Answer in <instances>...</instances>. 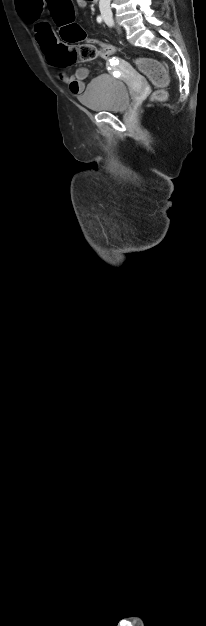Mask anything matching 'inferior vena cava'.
<instances>
[{
	"instance_id": "1",
	"label": "inferior vena cava",
	"mask_w": 206,
	"mask_h": 626,
	"mask_svg": "<svg viewBox=\"0 0 206 626\" xmlns=\"http://www.w3.org/2000/svg\"><path fill=\"white\" fill-rule=\"evenodd\" d=\"M110 1L111 0H100L99 1V9L101 12L102 16H110L112 17V11L110 8Z\"/></svg>"
}]
</instances>
